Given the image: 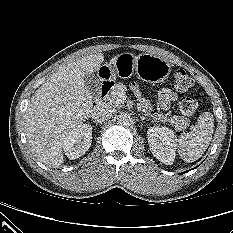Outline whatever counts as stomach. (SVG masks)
I'll return each instance as SVG.
<instances>
[{
	"mask_svg": "<svg viewBox=\"0 0 233 233\" xmlns=\"http://www.w3.org/2000/svg\"><path fill=\"white\" fill-rule=\"evenodd\" d=\"M110 71L123 67L134 69L140 80L158 83L168 78L171 72V65L165 59L152 54H139L134 56L131 53H122L117 57L114 68L107 65ZM130 71V70H129Z\"/></svg>",
	"mask_w": 233,
	"mask_h": 233,
	"instance_id": "0dacf381",
	"label": "stomach"
}]
</instances>
